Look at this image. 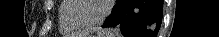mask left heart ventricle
<instances>
[{
	"label": "left heart ventricle",
	"instance_id": "1",
	"mask_svg": "<svg viewBox=\"0 0 219 37\" xmlns=\"http://www.w3.org/2000/svg\"><path fill=\"white\" fill-rule=\"evenodd\" d=\"M78 7L73 14L77 21H92L97 19L104 10L103 0H76Z\"/></svg>",
	"mask_w": 219,
	"mask_h": 37
}]
</instances>
